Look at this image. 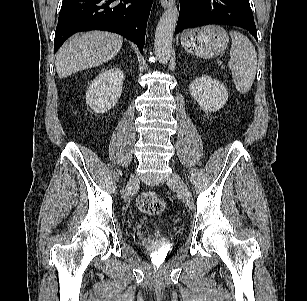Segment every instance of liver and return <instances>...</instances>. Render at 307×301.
I'll return each mask as SVG.
<instances>
[{
    "label": "liver",
    "mask_w": 307,
    "mask_h": 301,
    "mask_svg": "<svg viewBox=\"0 0 307 301\" xmlns=\"http://www.w3.org/2000/svg\"><path fill=\"white\" fill-rule=\"evenodd\" d=\"M123 38L107 31L76 34L56 54L55 66L60 78L99 66L114 58L122 47Z\"/></svg>",
    "instance_id": "1"
}]
</instances>
